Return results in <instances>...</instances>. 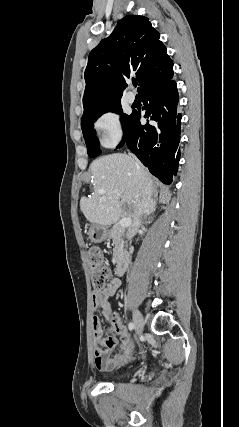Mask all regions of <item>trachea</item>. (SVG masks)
<instances>
[{"instance_id":"trachea-1","label":"trachea","mask_w":239,"mask_h":427,"mask_svg":"<svg viewBox=\"0 0 239 427\" xmlns=\"http://www.w3.org/2000/svg\"><path fill=\"white\" fill-rule=\"evenodd\" d=\"M132 83L136 87L138 82L135 80V81H132Z\"/></svg>"}]
</instances>
